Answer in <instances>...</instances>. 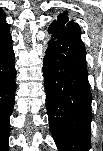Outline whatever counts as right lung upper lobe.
Returning <instances> with one entry per match:
<instances>
[{"label":"right lung upper lobe","mask_w":103,"mask_h":151,"mask_svg":"<svg viewBox=\"0 0 103 151\" xmlns=\"http://www.w3.org/2000/svg\"><path fill=\"white\" fill-rule=\"evenodd\" d=\"M5 25H7V24H5ZM5 25H2L1 28H3V26H5ZM1 28H0V29H1Z\"/></svg>","instance_id":"right-lung-upper-lobe-1"}]
</instances>
